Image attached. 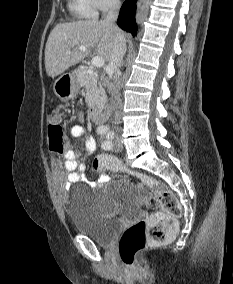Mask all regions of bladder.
<instances>
[{"mask_svg":"<svg viewBox=\"0 0 233 284\" xmlns=\"http://www.w3.org/2000/svg\"><path fill=\"white\" fill-rule=\"evenodd\" d=\"M135 197L134 187L123 180L110 183L99 201H96L86 188L77 186L70 192L68 217L76 231L98 244L108 245L121 228V221L116 217L104 215L100 207L113 203L127 206L134 202Z\"/></svg>","mask_w":233,"mask_h":284,"instance_id":"obj_1","label":"bladder"}]
</instances>
